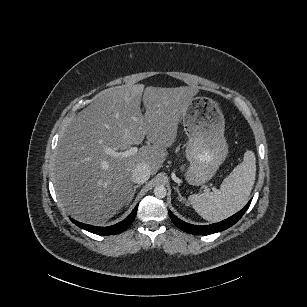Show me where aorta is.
I'll return each mask as SVG.
<instances>
[{"label": "aorta", "mask_w": 307, "mask_h": 307, "mask_svg": "<svg viewBox=\"0 0 307 307\" xmlns=\"http://www.w3.org/2000/svg\"><path fill=\"white\" fill-rule=\"evenodd\" d=\"M166 194H167V190H166L164 185H157L154 188V195L157 198H164L166 196Z\"/></svg>", "instance_id": "aorta-1"}]
</instances>
